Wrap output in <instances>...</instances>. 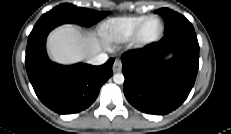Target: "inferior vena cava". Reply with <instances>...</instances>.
Segmentation results:
<instances>
[{"label": "inferior vena cava", "instance_id": "obj_1", "mask_svg": "<svg viewBox=\"0 0 231 134\" xmlns=\"http://www.w3.org/2000/svg\"><path fill=\"white\" fill-rule=\"evenodd\" d=\"M108 60V55L105 53H98L88 60L91 65H102Z\"/></svg>", "mask_w": 231, "mask_h": 134}]
</instances>
